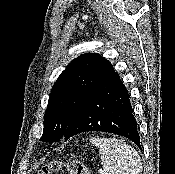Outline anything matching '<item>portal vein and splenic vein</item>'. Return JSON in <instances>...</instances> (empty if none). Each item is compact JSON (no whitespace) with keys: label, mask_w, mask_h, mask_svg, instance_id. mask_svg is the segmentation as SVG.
<instances>
[{"label":"portal vein and splenic vein","mask_w":175,"mask_h":174,"mask_svg":"<svg viewBox=\"0 0 175 174\" xmlns=\"http://www.w3.org/2000/svg\"><path fill=\"white\" fill-rule=\"evenodd\" d=\"M99 173H100V174H103V171H102V170H100V171H99Z\"/></svg>","instance_id":"18ae733b"}]
</instances>
